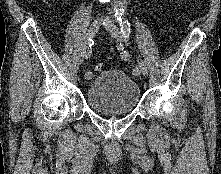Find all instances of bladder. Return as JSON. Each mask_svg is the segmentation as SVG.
<instances>
[{"label":"bladder","mask_w":221,"mask_h":174,"mask_svg":"<svg viewBox=\"0 0 221 174\" xmlns=\"http://www.w3.org/2000/svg\"><path fill=\"white\" fill-rule=\"evenodd\" d=\"M86 101L93 111L100 114H128L139 104L140 88L124 71L104 70L89 82Z\"/></svg>","instance_id":"1"}]
</instances>
